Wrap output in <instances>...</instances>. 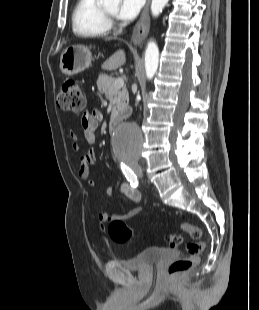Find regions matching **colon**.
<instances>
[{
  "label": "colon",
  "instance_id": "colon-1",
  "mask_svg": "<svg viewBox=\"0 0 259 310\" xmlns=\"http://www.w3.org/2000/svg\"><path fill=\"white\" fill-rule=\"evenodd\" d=\"M58 107L67 112L81 113L85 108V98L81 83L75 79H66L57 95ZM180 229L188 233L191 240L186 244L187 257L173 261L168 267L170 276H177L187 272L195 266L204 249L201 241L202 230L200 227L191 223H181ZM108 233L111 239L117 243H125L133 236V231L125 223L124 219H113L108 227ZM169 242L172 247H177L184 242V236L176 233L169 236Z\"/></svg>",
  "mask_w": 259,
  "mask_h": 310
}]
</instances>
